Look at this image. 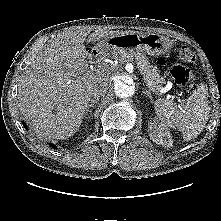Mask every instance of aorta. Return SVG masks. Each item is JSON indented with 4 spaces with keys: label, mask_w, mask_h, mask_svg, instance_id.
I'll list each match as a JSON object with an SVG mask.
<instances>
[{
    "label": "aorta",
    "mask_w": 221,
    "mask_h": 221,
    "mask_svg": "<svg viewBox=\"0 0 221 221\" xmlns=\"http://www.w3.org/2000/svg\"><path fill=\"white\" fill-rule=\"evenodd\" d=\"M113 87L115 95L119 98L131 97L135 92V87L133 85L128 84L121 79L115 80Z\"/></svg>",
    "instance_id": "762f6f07"
}]
</instances>
